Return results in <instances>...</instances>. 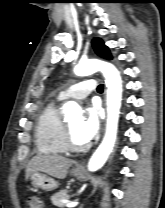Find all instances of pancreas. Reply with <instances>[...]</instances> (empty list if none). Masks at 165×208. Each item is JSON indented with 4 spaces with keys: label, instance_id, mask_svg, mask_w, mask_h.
I'll return each instance as SVG.
<instances>
[{
    "label": "pancreas",
    "instance_id": "cf45deb5",
    "mask_svg": "<svg viewBox=\"0 0 165 208\" xmlns=\"http://www.w3.org/2000/svg\"><path fill=\"white\" fill-rule=\"evenodd\" d=\"M68 191L67 190H60L59 192L55 193L51 196V201L53 205L63 208L65 203L63 200L68 199Z\"/></svg>",
    "mask_w": 165,
    "mask_h": 208
}]
</instances>
